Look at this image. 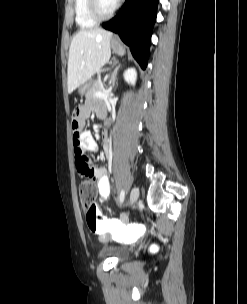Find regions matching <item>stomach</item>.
<instances>
[{
  "label": "stomach",
  "mask_w": 247,
  "mask_h": 304,
  "mask_svg": "<svg viewBox=\"0 0 247 304\" xmlns=\"http://www.w3.org/2000/svg\"><path fill=\"white\" fill-rule=\"evenodd\" d=\"M112 48H113V51L118 55L125 54V49L117 41H112ZM80 92H81V90H80Z\"/></svg>",
  "instance_id": "1"
}]
</instances>
